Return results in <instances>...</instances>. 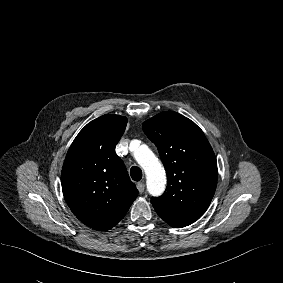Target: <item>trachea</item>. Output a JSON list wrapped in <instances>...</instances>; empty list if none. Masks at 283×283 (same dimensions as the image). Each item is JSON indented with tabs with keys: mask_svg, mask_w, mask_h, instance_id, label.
Listing matches in <instances>:
<instances>
[{
	"mask_svg": "<svg viewBox=\"0 0 283 283\" xmlns=\"http://www.w3.org/2000/svg\"><path fill=\"white\" fill-rule=\"evenodd\" d=\"M130 175L134 181H140L142 179V171L137 166H133L130 169Z\"/></svg>",
	"mask_w": 283,
	"mask_h": 283,
	"instance_id": "trachea-1",
	"label": "trachea"
}]
</instances>
